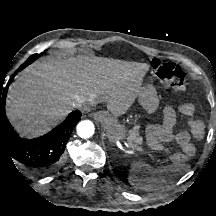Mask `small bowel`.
<instances>
[{
  "instance_id": "small-bowel-1",
  "label": "small bowel",
  "mask_w": 216,
  "mask_h": 216,
  "mask_svg": "<svg viewBox=\"0 0 216 216\" xmlns=\"http://www.w3.org/2000/svg\"><path fill=\"white\" fill-rule=\"evenodd\" d=\"M178 112L181 115L189 117L188 130H181L174 133L176 124V113L172 108H166L164 120L160 126L159 142L164 144L174 140L181 150L187 155L192 156L195 153V146L191 139H202L204 136V123L201 120L192 118L195 113V106L192 103H184L179 106Z\"/></svg>"
}]
</instances>
